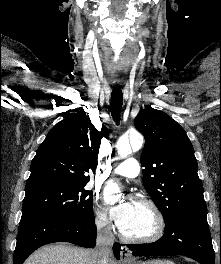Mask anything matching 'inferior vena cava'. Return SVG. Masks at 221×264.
Wrapping results in <instances>:
<instances>
[{
	"mask_svg": "<svg viewBox=\"0 0 221 264\" xmlns=\"http://www.w3.org/2000/svg\"><path fill=\"white\" fill-rule=\"evenodd\" d=\"M107 225L108 222L106 220L97 221V246L94 250L97 264H108L109 259L112 257L114 236Z\"/></svg>",
	"mask_w": 221,
	"mask_h": 264,
	"instance_id": "obj_1",
	"label": "inferior vena cava"
}]
</instances>
